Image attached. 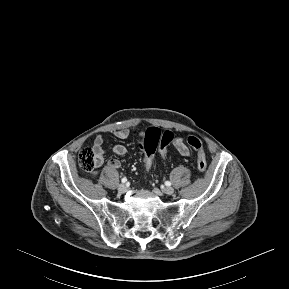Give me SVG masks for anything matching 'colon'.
<instances>
[{
	"mask_svg": "<svg viewBox=\"0 0 289 289\" xmlns=\"http://www.w3.org/2000/svg\"><path fill=\"white\" fill-rule=\"evenodd\" d=\"M174 141V134L171 131L161 132L156 127H150L144 132L141 138L142 161L144 168L149 170L152 166L153 156L158 152L161 157L165 158L167 155L168 146ZM187 143L197 152V167L200 172H205L207 169V161L203 149L202 141L190 136ZM79 166L83 171L91 173L98 167L99 158L97 153L91 148H84L80 151L78 156Z\"/></svg>",
	"mask_w": 289,
	"mask_h": 289,
	"instance_id": "colon-1",
	"label": "colon"
}]
</instances>
